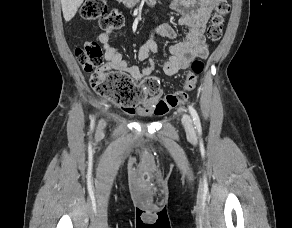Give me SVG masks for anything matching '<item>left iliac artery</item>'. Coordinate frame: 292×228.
<instances>
[{"mask_svg":"<svg viewBox=\"0 0 292 228\" xmlns=\"http://www.w3.org/2000/svg\"><path fill=\"white\" fill-rule=\"evenodd\" d=\"M188 108H189V112L193 118L195 128L197 129L198 133L201 134V123H200L199 116H198V114L193 106L189 105Z\"/></svg>","mask_w":292,"mask_h":228,"instance_id":"left-iliac-artery-1","label":"left iliac artery"}]
</instances>
